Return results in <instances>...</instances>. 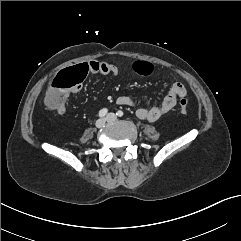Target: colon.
<instances>
[{"label": "colon", "instance_id": "1", "mask_svg": "<svg viewBox=\"0 0 241 241\" xmlns=\"http://www.w3.org/2000/svg\"><path fill=\"white\" fill-rule=\"evenodd\" d=\"M133 69L138 74L146 75L151 73L152 67L144 62H136ZM91 73L90 66L85 62L74 64L71 68H66L58 72L52 79L48 88L45 101L48 106L60 104L64 100V95L78 86L83 79ZM179 101V110L181 114L188 112V102L185 94L182 93Z\"/></svg>", "mask_w": 241, "mask_h": 241}]
</instances>
